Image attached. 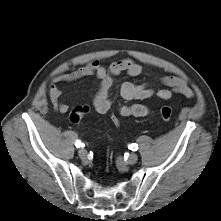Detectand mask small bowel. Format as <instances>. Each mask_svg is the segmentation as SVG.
<instances>
[{
	"instance_id": "obj_1",
	"label": "small bowel",
	"mask_w": 221,
	"mask_h": 221,
	"mask_svg": "<svg viewBox=\"0 0 221 221\" xmlns=\"http://www.w3.org/2000/svg\"><path fill=\"white\" fill-rule=\"evenodd\" d=\"M125 72L129 77H137L143 72V67L130 58H124L113 62L108 67L99 60H94L77 70L57 75L49 85L48 95L55 111L65 114L69 106L61 101L62 89L56 82L72 83L85 77L94 76L98 80V89L93 98L95 110L100 114L108 113L112 109L110 92L114 78ZM165 86L155 91L146 83L124 82L120 85V95L126 100H145L156 95L161 101H168L174 94H181L185 97H192L193 92L187 82L178 77H165L161 80ZM119 115L123 117H145L151 110L143 104L123 105L117 108Z\"/></svg>"
}]
</instances>
